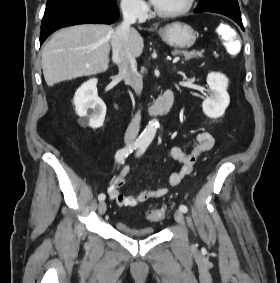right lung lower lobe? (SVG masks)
Here are the masks:
<instances>
[{"label": "right lung lower lobe", "mask_w": 280, "mask_h": 283, "mask_svg": "<svg viewBox=\"0 0 280 283\" xmlns=\"http://www.w3.org/2000/svg\"><path fill=\"white\" fill-rule=\"evenodd\" d=\"M119 17L116 3L107 9L63 8L44 13L41 23L40 44L54 31L77 24H110Z\"/></svg>", "instance_id": "98d812e1"}]
</instances>
